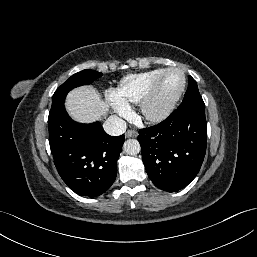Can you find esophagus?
<instances>
[{"label": "esophagus", "instance_id": "34e87169", "mask_svg": "<svg viewBox=\"0 0 257 257\" xmlns=\"http://www.w3.org/2000/svg\"><path fill=\"white\" fill-rule=\"evenodd\" d=\"M126 138H135L137 137V132L135 130H128L125 133Z\"/></svg>", "mask_w": 257, "mask_h": 257}]
</instances>
